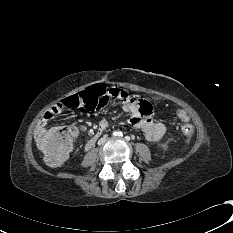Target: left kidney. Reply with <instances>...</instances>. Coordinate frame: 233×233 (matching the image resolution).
<instances>
[{
  "mask_svg": "<svg viewBox=\"0 0 233 233\" xmlns=\"http://www.w3.org/2000/svg\"><path fill=\"white\" fill-rule=\"evenodd\" d=\"M159 147L162 148V149H165V146L162 145V144H159Z\"/></svg>",
  "mask_w": 233,
  "mask_h": 233,
  "instance_id": "left-kidney-1",
  "label": "left kidney"
}]
</instances>
